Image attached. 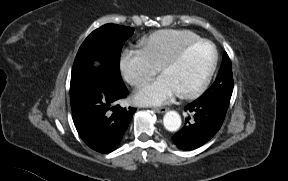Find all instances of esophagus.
I'll return each mask as SVG.
<instances>
[{
    "label": "esophagus",
    "mask_w": 288,
    "mask_h": 181,
    "mask_svg": "<svg viewBox=\"0 0 288 181\" xmlns=\"http://www.w3.org/2000/svg\"><path fill=\"white\" fill-rule=\"evenodd\" d=\"M154 111L157 113H165L167 111V108L166 107L155 108Z\"/></svg>",
    "instance_id": "obj_1"
}]
</instances>
